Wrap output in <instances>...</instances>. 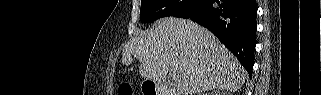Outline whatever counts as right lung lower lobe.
Here are the masks:
<instances>
[{
	"mask_svg": "<svg viewBox=\"0 0 321 95\" xmlns=\"http://www.w3.org/2000/svg\"><path fill=\"white\" fill-rule=\"evenodd\" d=\"M256 15V0H206L187 18L210 30L237 57L251 78Z\"/></svg>",
	"mask_w": 321,
	"mask_h": 95,
	"instance_id": "98d812e1",
	"label": "right lung lower lobe"
}]
</instances>
